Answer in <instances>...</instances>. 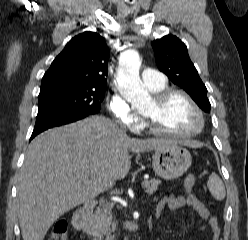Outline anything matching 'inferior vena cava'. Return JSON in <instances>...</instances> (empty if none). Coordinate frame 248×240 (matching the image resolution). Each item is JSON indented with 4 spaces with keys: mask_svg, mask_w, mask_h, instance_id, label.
<instances>
[{
    "mask_svg": "<svg viewBox=\"0 0 248 240\" xmlns=\"http://www.w3.org/2000/svg\"><path fill=\"white\" fill-rule=\"evenodd\" d=\"M120 129H121L122 132H125V128L121 127Z\"/></svg>",
    "mask_w": 248,
    "mask_h": 240,
    "instance_id": "inferior-vena-cava-1",
    "label": "inferior vena cava"
}]
</instances>
